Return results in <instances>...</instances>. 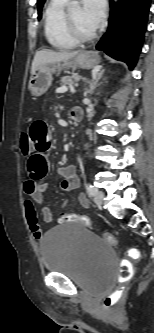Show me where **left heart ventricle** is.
<instances>
[{
  "label": "left heart ventricle",
  "mask_w": 154,
  "mask_h": 333,
  "mask_svg": "<svg viewBox=\"0 0 154 333\" xmlns=\"http://www.w3.org/2000/svg\"><path fill=\"white\" fill-rule=\"evenodd\" d=\"M70 15L78 27V29L84 34H90L95 30L88 26L82 17V7L80 5H74L69 8Z\"/></svg>",
  "instance_id": "b2bd125f"
}]
</instances>
